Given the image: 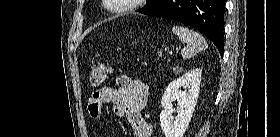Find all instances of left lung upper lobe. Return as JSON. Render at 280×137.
<instances>
[{"label": "left lung upper lobe", "mask_w": 280, "mask_h": 137, "mask_svg": "<svg viewBox=\"0 0 280 137\" xmlns=\"http://www.w3.org/2000/svg\"><path fill=\"white\" fill-rule=\"evenodd\" d=\"M163 0H151L149 1L146 6L140 10H138L141 13H144L146 11H149L153 9L155 6H157L159 3H161Z\"/></svg>", "instance_id": "left-lung-upper-lobe-1"}]
</instances>
